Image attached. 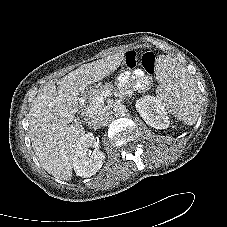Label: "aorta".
I'll use <instances>...</instances> for the list:
<instances>
[{
  "label": "aorta",
  "instance_id": "762f6f07",
  "mask_svg": "<svg viewBox=\"0 0 227 227\" xmlns=\"http://www.w3.org/2000/svg\"><path fill=\"white\" fill-rule=\"evenodd\" d=\"M126 111V106L123 104H117L113 108V113L115 114V116H123L125 115Z\"/></svg>",
  "mask_w": 227,
  "mask_h": 227
}]
</instances>
